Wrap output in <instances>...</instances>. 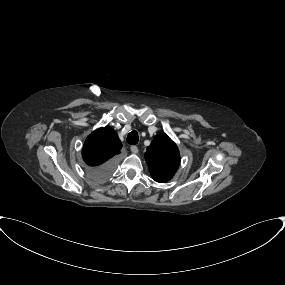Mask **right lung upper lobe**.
Returning <instances> with one entry per match:
<instances>
[{
    "label": "right lung upper lobe",
    "instance_id": "cb5924a9",
    "mask_svg": "<svg viewBox=\"0 0 285 285\" xmlns=\"http://www.w3.org/2000/svg\"><path fill=\"white\" fill-rule=\"evenodd\" d=\"M122 144L111 127H103L92 132L85 140L82 157L93 168L98 167L120 153Z\"/></svg>",
    "mask_w": 285,
    "mask_h": 285
}]
</instances>
